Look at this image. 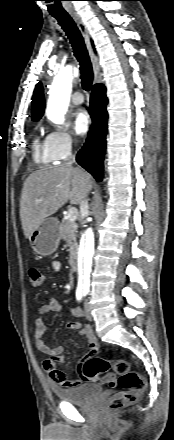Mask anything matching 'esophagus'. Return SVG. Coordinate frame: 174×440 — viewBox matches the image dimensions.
Returning <instances> with one entry per match:
<instances>
[{"label": "esophagus", "instance_id": "1", "mask_svg": "<svg viewBox=\"0 0 174 440\" xmlns=\"http://www.w3.org/2000/svg\"><path fill=\"white\" fill-rule=\"evenodd\" d=\"M72 18L74 19L75 23L77 24V27L79 28V30L85 40V43H86V46H87V49L89 51V55L91 58L94 74H95V76H97L99 74L100 68H99L97 57H96V55L93 51V48L91 46L88 30L79 16L72 15Z\"/></svg>", "mask_w": 174, "mask_h": 440}]
</instances>
